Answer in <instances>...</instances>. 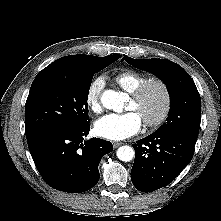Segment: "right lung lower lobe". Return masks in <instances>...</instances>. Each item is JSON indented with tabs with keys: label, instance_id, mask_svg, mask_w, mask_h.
I'll return each mask as SVG.
<instances>
[{
	"label": "right lung lower lobe",
	"instance_id": "98d812e1",
	"mask_svg": "<svg viewBox=\"0 0 221 221\" xmlns=\"http://www.w3.org/2000/svg\"><path fill=\"white\" fill-rule=\"evenodd\" d=\"M90 124L77 128H52L27 138L35 165L44 181L60 191L80 193L99 181L101 157L113 150L109 141L84 140Z\"/></svg>",
	"mask_w": 221,
	"mask_h": 221
}]
</instances>
